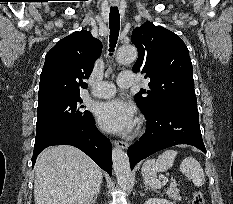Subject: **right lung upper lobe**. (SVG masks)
I'll return each mask as SVG.
<instances>
[{
    "instance_id": "obj_1",
    "label": "right lung upper lobe",
    "mask_w": 233,
    "mask_h": 204,
    "mask_svg": "<svg viewBox=\"0 0 233 204\" xmlns=\"http://www.w3.org/2000/svg\"><path fill=\"white\" fill-rule=\"evenodd\" d=\"M102 44L90 32L82 30L60 40L45 57L41 72L38 101L56 96L79 95L87 88L95 60Z\"/></svg>"
}]
</instances>
